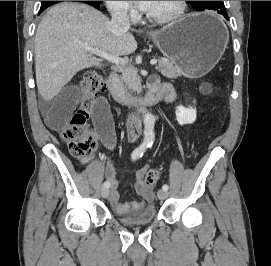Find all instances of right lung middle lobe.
Listing matches in <instances>:
<instances>
[{"label":"right lung middle lobe","mask_w":271,"mask_h":266,"mask_svg":"<svg viewBox=\"0 0 271 266\" xmlns=\"http://www.w3.org/2000/svg\"><path fill=\"white\" fill-rule=\"evenodd\" d=\"M58 2H61V1H42L41 7L51 6V5L56 4ZM96 2L102 3L103 1H96Z\"/></svg>","instance_id":"right-lung-middle-lobe-1"}]
</instances>
